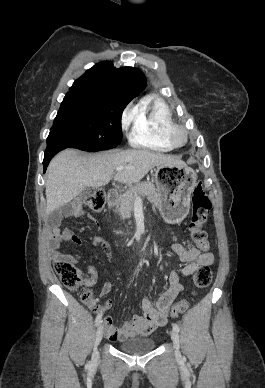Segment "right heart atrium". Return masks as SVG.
I'll return each mask as SVG.
<instances>
[{"label":"right heart atrium","instance_id":"d8ad5b80","mask_svg":"<svg viewBox=\"0 0 265 388\" xmlns=\"http://www.w3.org/2000/svg\"><path fill=\"white\" fill-rule=\"evenodd\" d=\"M134 116V110L129 107L125 112V121L130 120Z\"/></svg>","mask_w":265,"mask_h":388}]
</instances>
